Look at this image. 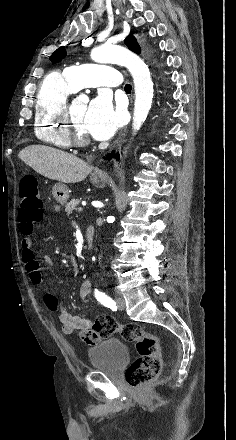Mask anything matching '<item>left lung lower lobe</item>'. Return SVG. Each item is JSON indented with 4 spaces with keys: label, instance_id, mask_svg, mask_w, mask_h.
Listing matches in <instances>:
<instances>
[{
    "label": "left lung lower lobe",
    "instance_id": "left-lung-lower-lobe-1",
    "mask_svg": "<svg viewBox=\"0 0 236 440\" xmlns=\"http://www.w3.org/2000/svg\"><path fill=\"white\" fill-rule=\"evenodd\" d=\"M114 155H115L116 159L119 158V154L118 153L115 154V152L113 151V152L109 153L108 155H106L105 159L110 160V159H112L114 157Z\"/></svg>",
    "mask_w": 236,
    "mask_h": 440
}]
</instances>
